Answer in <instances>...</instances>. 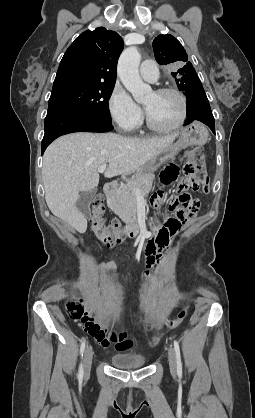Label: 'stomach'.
<instances>
[{"label":"stomach","instance_id":"1","mask_svg":"<svg viewBox=\"0 0 255 418\" xmlns=\"http://www.w3.org/2000/svg\"><path fill=\"white\" fill-rule=\"evenodd\" d=\"M208 136L207 129L198 122L182 128L179 140L151 158L136 171V174H145L157 170L160 166L172 159L180 149L187 146H200L205 144Z\"/></svg>","mask_w":255,"mask_h":418}]
</instances>
